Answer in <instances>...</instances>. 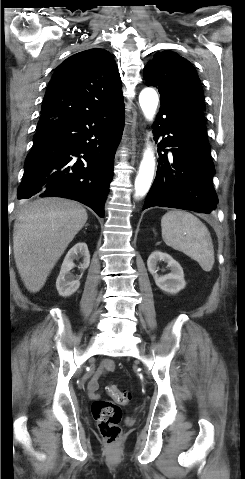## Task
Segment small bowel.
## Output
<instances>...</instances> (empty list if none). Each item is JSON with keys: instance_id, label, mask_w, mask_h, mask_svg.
<instances>
[{"instance_id": "small-bowel-1", "label": "small bowel", "mask_w": 245, "mask_h": 479, "mask_svg": "<svg viewBox=\"0 0 245 479\" xmlns=\"http://www.w3.org/2000/svg\"><path fill=\"white\" fill-rule=\"evenodd\" d=\"M115 362L111 359H106L102 362L100 367L96 370L95 375L88 383V394L91 399L99 397V380L108 371L114 370Z\"/></svg>"}]
</instances>
